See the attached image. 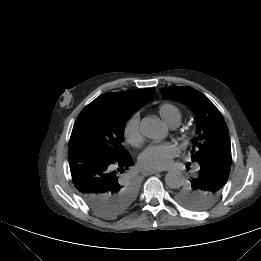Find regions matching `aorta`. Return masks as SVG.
<instances>
[{
    "label": "aorta",
    "mask_w": 261,
    "mask_h": 261,
    "mask_svg": "<svg viewBox=\"0 0 261 261\" xmlns=\"http://www.w3.org/2000/svg\"><path fill=\"white\" fill-rule=\"evenodd\" d=\"M141 133L149 139H160L165 134L161 121L155 117H145L140 125ZM184 177L180 171L171 170L165 176V183L169 188L177 189L183 185Z\"/></svg>",
    "instance_id": "762f6f07"
}]
</instances>
